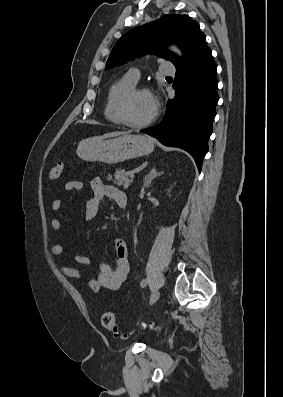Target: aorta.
<instances>
[{
    "label": "aorta",
    "instance_id": "aorta-1",
    "mask_svg": "<svg viewBox=\"0 0 283 397\" xmlns=\"http://www.w3.org/2000/svg\"><path fill=\"white\" fill-rule=\"evenodd\" d=\"M172 49L174 50V51H176L180 56H181V52L180 51H178V50H175V48L174 47H172Z\"/></svg>",
    "mask_w": 283,
    "mask_h": 397
}]
</instances>
